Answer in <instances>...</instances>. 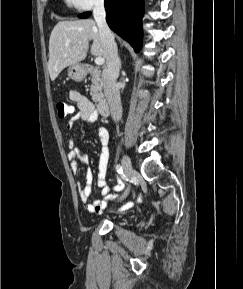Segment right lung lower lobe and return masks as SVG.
Returning <instances> with one entry per match:
<instances>
[{
    "instance_id": "obj_1",
    "label": "right lung lower lobe",
    "mask_w": 243,
    "mask_h": 289,
    "mask_svg": "<svg viewBox=\"0 0 243 289\" xmlns=\"http://www.w3.org/2000/svg\"><path fill=\"white\" fill-rule=\"evenodd\" d=\"M106 21L109 27L128 41L136 52L142 46L143 0H104ZM90 13L79 15L87 18Z\"/></svg>"
}]
</instances>
